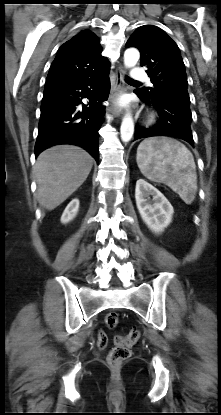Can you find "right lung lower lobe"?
Wrapping results in <instances>:
<instances>
[{
    "label": "right lung lower lobe",
    "mask_w": 221,
    "mask_h": 415,
    "mask_svg": "<svg viewBox=\"0 0 221 415\" xmlns=\"http://www.w3.org/2000/svg\"><path fill=\"white\" fill-rule=\"evenodd\" d=\"M109 92V70L95 77L45 85L35 156L53 145L73 144L99 162L98 131L105 113L102 103ZM83 98L88 99L87 104Z\"/></svg>",
    "instance_id": "1"
}]
</instances>
